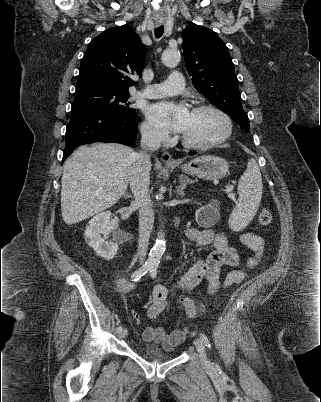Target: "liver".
Listing matches in <instances>:
<instances>
[{
	"label": "liver",
	"mask_w": 321,
	"mask_h": 402,
	"mask_svg": "<svg viewBox=\"0 0 321 402\" xmlns=\"http://www.w3.org/2000/svg\"><path fill=\"white\" fill-rule=\"evenodd\" d=\"M135 156L133 149L117 143L79 147L64 163V222L76 224L114 205L127 190Z\"/></svg>",
	"instance_id": "1"
}]
</instances>
